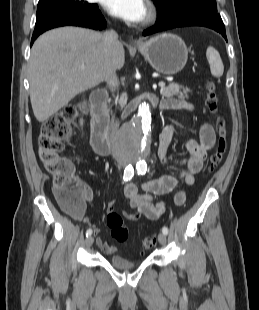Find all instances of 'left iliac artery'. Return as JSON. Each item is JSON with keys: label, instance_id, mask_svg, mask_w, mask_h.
Here are the masks:
<instances>
[{"label": "left iliac artery", "instance_id": "left-iliac-artery-1", "mask_svg": "<svg viewBox=\"0 0 259 310\" xmlns=\"http://www.w3.org/2000/svg\"><path fill=\"white\" fill-rule=\"evenodd\" d=\"M136 169H137V172L138 174H141V175H144L147 171V164L145 161H140L137 163L136 165ZM162 232L167 235L168 234V228L167 227H163L162 228Z\"/></svg>", "mask_w": 259, "mask_h": 310}]
</instances>
